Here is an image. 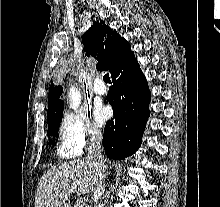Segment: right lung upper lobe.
<instances>
[{
	"label": "right lung upper lobe",
	"instance_id": "cb5924a9",
	"mask_svg": "<svg viewBox=\"0 0 220 207\" xmlns=\"http://www.w3.org/2000/svg\"><path fill=\"white\" fill-rule=\"evenodd\" d=\"M86 56L97 60V70L113 72L115 65L131 53V46L116 31L111 30L103 20L97 21L82 38ZM63 88L51 83L48 95L47 120L64 106L60 99Z\"/></svg>",
	"mask_w": 220,
	"mask_h": 207
}]
</instances>
